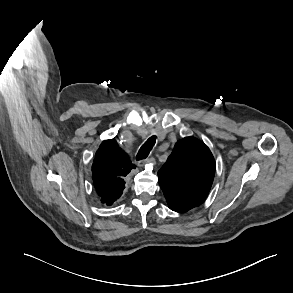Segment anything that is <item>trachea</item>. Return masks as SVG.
<instances>
[{"label": "trachea", "mask_w": 293, "mask_h": 293, "mask_svg": "<svg viewBox=\"0 0 293 293\" xmlns=\"http://www.w3.org/2000/svg\"><path fill=\"white\" fill-rule=\"evenodd\" d=\"M155 142H156V136L150 137L139 149L136 156V160H142L147 158L153 146L155 145Z\"/></svg>", "instance_id": "3493384b"}]
</instances>
